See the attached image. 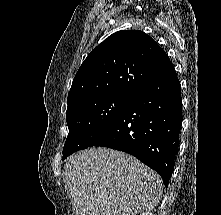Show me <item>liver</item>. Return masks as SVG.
Wrapping results in <instances>:
<instances>
[{
    "instance_id": "obj_1",
    "label": "liver",
    "mask_w": 221,
    "mask_h": 215,
    "mask_svg": "<svg viewBox=\"0 0 221 215\" xmlns=\"http://www.w3.org/2000/svg\"><path fill=\"white\" fill-rule=\"evenodd\" d=\"M64 169L75 215H137L153 210L162 196L160 176L121 151L83 150Z\"/></svg>"
}]
</instances>
